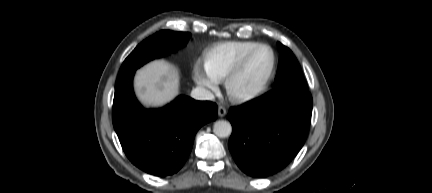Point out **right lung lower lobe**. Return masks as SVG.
<instances>
[{"instance_id":"right-lung-lower-lobe-1","label":"right lung lower lobe","mask_w":432,"mask_h":193,"mask_svg":"<svg viewBox=\"0 0 432 193\" xmlns=\"http://www.w3.org/2000/svg\"><path fill=\"white\" fill-rule=\"evenodd\" d=\"M134 73L116 81L114 129L135 166L155 176L174 174L187 160L198 129L217 118L218 107L181 95L161 109H144L133 92Z\"/></svg>"}]
</instances>
